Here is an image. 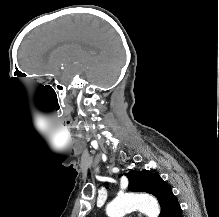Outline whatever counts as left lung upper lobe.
Wrapping results in <instances>:
<instances>
[{"label": "left lung upper lobe", "instance_id": "obj_1", "mask_svg": "<svg viewBox=\"0 0 219 217\" xmlns=\"http://www.w3.org/2000/svg\"><path fill=\"white\" fill-rule=\"evenodd\" d=\"M129 179L128 190L132 192H147L157 197L161 206L159 217H167L171 206L177 202L171 186L159 175L148 170L131 171L125 174Z\"/></svg>", "mask_w": 219, "mask_h": 217}]
</instances>
